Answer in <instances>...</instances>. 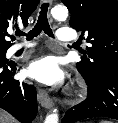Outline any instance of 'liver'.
<instances>
[{
	"label": "liver",
	"mask_w": 118,
	"mask_h": 123,
	"mask_svg": "<svg viewBox=\"0 0 118 123\" xmlns=\"http://www.w3.org/2000/svg\"><path fill=\"white\" fill-rule=\"evenodd\" d=\"M0 123H16V120L10 114L0 109Z\"/></svg>",
	"instance_id": "1"
}]
</instances>
